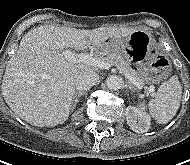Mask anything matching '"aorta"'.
Segmentation results:
<instances>
[{"label":"aorta","instance_id":"1","mask_svg":"<svg viewBox=\"0 0 190 165\" xmlns=\"http://www.w3.org/2000/svg\"><path fill=\"white\" fill-rule=\"evenodd\" d=\"M105 82L110 90H118L123 85L122 78L117 75H110Z\"/></svg>","mask_w":190,"mask_h":165}]
</instances>
